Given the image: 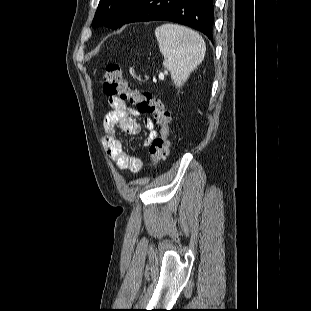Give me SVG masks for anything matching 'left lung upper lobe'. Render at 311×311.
I'll return each instance as SVG.
<instances>
[{"label":"left lung upper lobe","mask_w":311,"mask_h":311,"mask_svg":"<svg viewBox=\"0 0 311 311\" xmlns=\"http://www.w3.org/2000/svg\"><path fill=\"white\" fill-rule=\"evenodd\" d=\"M133 0H100L92 27L105 25L116 29L123 13Z\"/></svg>","instance_id":"1"}]
</instances>
